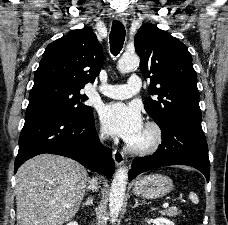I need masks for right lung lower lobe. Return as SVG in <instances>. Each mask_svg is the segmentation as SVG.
Segmentation results:
<instances>
[{"label":"right lung lower lobe","mask_w":228,"mask_h":225,"mask_svg":"<svg viewBox=\"0 0 228 225\" xmlns=\"http://www.w3.org/2000/svg\"><path fill=\"white\" fill-rule=\"evenodd\" d=\"M43 153L72 158L108 178L115 170L110 149L99 143L92 113L80 116L55 108L26 113L14 172Z\"/></svg>","instance_id":"obj_1"}]
</instances>
